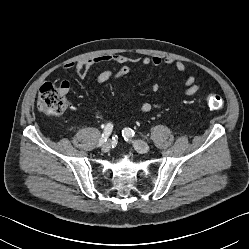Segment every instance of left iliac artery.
I'll return each instance as SVG.
<instances>
[{
    "label": "left iliac artery",
    "instance_id": "obj_1",
    "mask_svg": "<svg viewBox=\"0 0 249 249\" xmlns=\"http://www.w3.org/2000/svg\"><path fill=\"white\" fill-rule=\"evenodd\" d=\"M122 135L124 136L125 139H128L129 137L134 136L135 132L132 129H130V128H125L122 131Z\"/></svg>",
    "mask_w": 249,
    "mask_h": 249
}]
</instances>
